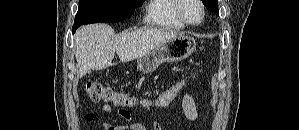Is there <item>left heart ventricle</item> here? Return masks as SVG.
Here are the masks:
<instances>
[{
  "label": "left heart ventricle",
  "mask_w": 299,
  "mask_h": 130,
  "mask_svg": "<svg viewBox=\"0 0 299 130\" xmlns=\"http://www.w3.org/2000/svg\"><path fill=\"white\" fill-rule=\"evenodd\" d=\"M184 14L193 23H196L201 18V9L194 0H187L184 6Z\"/></svg>",
  "instance_id": "1"
}]
</instances>
